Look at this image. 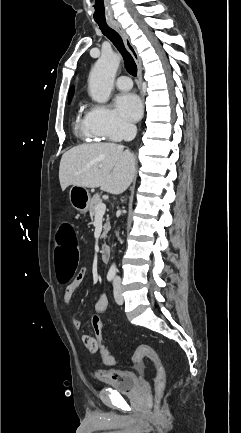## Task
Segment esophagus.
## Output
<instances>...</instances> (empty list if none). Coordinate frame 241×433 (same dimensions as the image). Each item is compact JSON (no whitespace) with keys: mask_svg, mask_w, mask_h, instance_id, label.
Segmentation results:
<instances>
[{"mask_svg":"<svg viewBox=\"0 0 241 433\" xmlns=\"http://www.w3.org/2000/svg\"><path fill=\"white\" fill-rule=\"evenodd\" d=\"M108 24L115 29L123 38L125 45L127 47V49L129 50V52L131 53L132 57L134 58L137 68H138V79H139V83L141 84L142 82V65H141V59L138 55L137 49L135 48V46L132 44L127 32L125 31V29L121 26V24H119L116 21H110L108 22Z\"/></svg>","mask_w":241,"mask_h":433,"instance_id":"34e87169","label":"esophagus"}]
</instances>
